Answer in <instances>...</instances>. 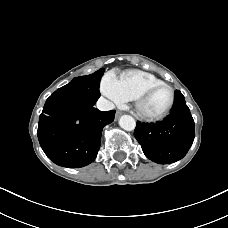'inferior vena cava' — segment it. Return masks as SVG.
Wrapping results in <instances>:
<instances>
[{"mask_svg": "<svg viewBox=\"0 0 228 228\" xmlns=\"http://www.w3.org/2000/svg\"><path fill=\"white\" fill-rule=\"evenodd\" d=\"M96 106L101 111H109L115 108V105L111 101L105 99L104 97L99 98Z\"/></svg>", "mask_w": 228, "mask_h": 228, "instance_id": "1", "label": "inferior vena cava"}]
</instances>
